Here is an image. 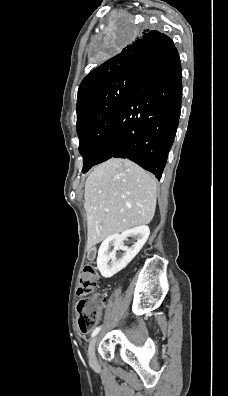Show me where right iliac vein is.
Wrapping results in <instances>:
<instances>
[{
  "instance_id": "63e3f726",
  "label": "right iliac vein",
  "mask_w": 228,
  "mask_h": 396,
  "mask_svg": "<svg viewBox=\"0 0 228 396\" xmlns=\"http://www.w3.org/2000/svg\"><path fill=\"white\" fill-rule=\"evenodd\" d=\"M97 339H98V337L96 336L91 340L89 349H88V356H89V361L91 364L96 363L95 347H96Z\"/></svg>"
}]
</instances>
